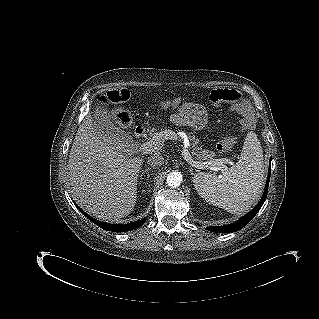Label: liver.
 I'll use <instances>...</instances> for the list:
<instances>
[{
    "instance_id": "6515ba94",
    "label": "liver",
    "mask_w": 319,
    "mask_h": 319,
    "mask_svg": "<svg viewBox=\"0 0 319 319\" xmlns=\"http://www.w3.org/2000/svg\"><path fill=\"white\" fill-rule=\"evenodd\" d=\"M115 140L102 136L88 114L70 150L68 168L75 200L103 220L128 216L137 199L143 158L122 153Z\"/></svg>"
}]
</instances>
